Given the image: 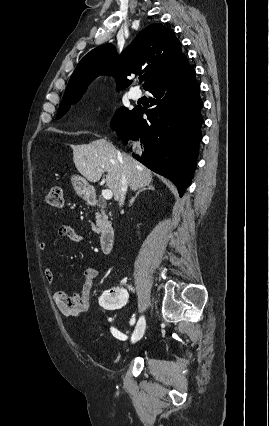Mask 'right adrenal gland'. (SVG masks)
I'll list each match as a JSON object with an SVG mask.
<instances>
[{
    "mask_svg": "<svg viewBox=\"0 0 269 426\" xmlns=\"http://www.w3.org/2000/svg\"><path fill=\"white\" fill-rule=\"evenodd\" d=\"M146 190H154V187L152 185H147L146 188H142L141 190H139L138 192H136L135 196L131 198V200L129 201V204L132 205L133 202L135 201V199L137 198V196L141 193L144 192Z\"/></svg>",
    "mask_w": 269,
    "mask_h": 426,
    "instance_id": "obj_1",
    "label": "right adrenal gland"
}]
</instances>
